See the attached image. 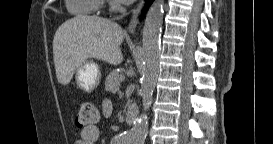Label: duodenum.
I'll list each match as a JSON object with an SVG mask.
<instances>
[{"label":"duodenum","mask_w":273,"mask_h":144,"mask_svg":"<svg viewBox=\"0 0 273 144\" xmlns=\"http://www.w3.org/2000/svg\"><path fill=\"white\" fill-rule=\"evenodd\" d=\"M138 117V109L135 106H128L125 111V122L133 124Z\"/></svg>","instance_id":"1"}]
</instances>
